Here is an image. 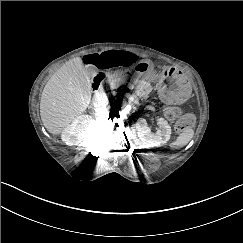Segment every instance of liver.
<instances>
[{
	"label": "liver",
	"instance_id": "obj_1",
	"mask_svg": "<svg viewBox=\"0 0 243 243\" xmlns=\"http://www.w3.org/2000/svg\"><path fill=\"white\" fill-rule=\"evenodd\" d=\"M90 77L80 57L59 68L46 83L40 101L45 128L60 134L75 117L84 112L91 100Z\"/></svg>",
	"mask_w": 243,
	"mask_h": 243
}]
</instances>
